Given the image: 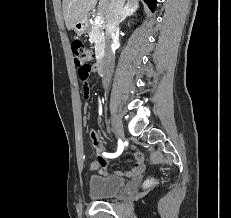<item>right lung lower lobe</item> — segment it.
<instances>
[{
  "label": "right lung lower lobe",
  "mask_w": 231,
  "mask_h": 218,
  "mask_svg": "<svg viewBox=\"0 0 231 218\" xmlns=\"http://www.w3.org/2000/svg\"><path fill=\"white\" fill-rule=\"evenodd\" d=\"M144 1L147 3V5L149 6V8H150L152 11H154L156 0H144Z\"/></svg>",
  "instance_id": "98d812e1"
}]
</instances>
